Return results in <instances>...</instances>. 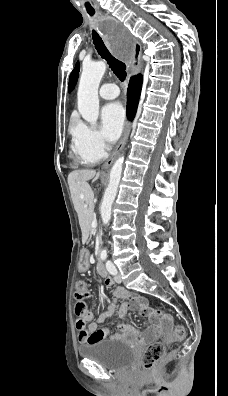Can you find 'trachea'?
Returning <instances> with one entry per match:
<instances>
[{
    "label": "trachea",
    "instance_id": "1",
    "mask_svg": "<svg viewBox=\"0 0 228 396\" xmlns=\"http://www.w3.org/2000/svg\"><path fill=\"white\" fill-rule=\"evenodd\" d=\"M89 15L93 16L95 11H88ZM92 35H93V43L95 45V48L98 52V54L107 61L109 67L111 68V70L113 71V73L119 78L120 81H124L127 73H126V65L116 59L107 49V47L105 46L102 38L99 36V34L93 30L92 31Z\"/></svg>",
    "mask_w": 228,
    "mask_h": 396
}]
</instances>
